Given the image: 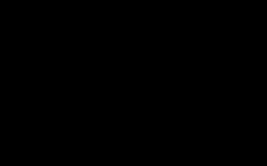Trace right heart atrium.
<instances>
[{
	"instance_id": "d8ad5b80",
	"label": "right heart atrium",
	"mask_w": 267,
	"mask_h": 166,
	"mask_svg": "<svg viewBox=\"0 0 267 166\" xmlns=\"http://www.w3.org/2000/svg\"><path fill=\"white\" fill-rule=\"evenodd\" d=\"M108 50H107V48L105 47V46H103L102 48H101V52L102 53H106Z\"/></svg>"
}]
</instances>
